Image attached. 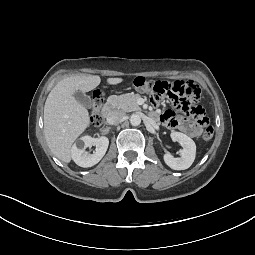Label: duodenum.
Returning a JSON list of instances; mask_svg holds the SVG:
<instances>
[{
  "mask_svg": "<svg viewBox=\"0 0 255 255\" xmlns=\"http://www.w3.org/2000/svg\"><path fill=\"white\" fill-rule=\"evenodd\" d=\"M112 113H113V107L110 104H106L102 110L103 117L108 119L109 117H111Z\"/></svg>",
  "mask_w": 255,
  "mask_h": 255,
  "instance_id": "1",
  "label": "duodenum"
}]
</instances>
